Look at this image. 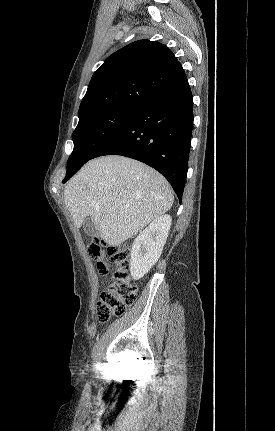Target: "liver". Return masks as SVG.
<instances>
[{"label": "liver", "instance_id": "6515ba94", "mask_svg": "<svg viewBox=\"0 0 275 431\" xmlns=\"http://www.w3.org/2000/svg\"><path fill=\"white\" fill-rule=\"evenodd\" d=\"M64 201L77 228L90 216L101 239L116 247L167 212L174 196L156 170L110 155L86 163L65 187Z\"/></svg>", "mask_w": 275, "mask_h": 431}]
</instances>
